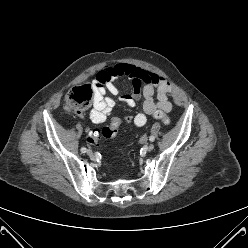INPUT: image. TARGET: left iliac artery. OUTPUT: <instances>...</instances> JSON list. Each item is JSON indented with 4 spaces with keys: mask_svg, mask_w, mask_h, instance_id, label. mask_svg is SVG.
<instances>
[{
    "mask_svg": "<svg viewBox=\"0 0 248 248\" xmlns=\"http://www.w3.org/2000/svg\"><path fill=\"white\" fill-rule=\"evenodd\" d=\"M149 140H150L151 142H153V141L155 140V137H154V136H150V137H149Z\"/></svg>",
    "mask_w": 248,
    "mask_h": 248,
    "instance_id": "44dca946",
    "label": "left iliac artery"
}]
</instances>
